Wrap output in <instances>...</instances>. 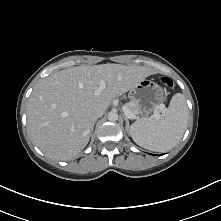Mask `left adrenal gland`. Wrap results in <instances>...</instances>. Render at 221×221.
<instances>
[{"label":"left adrenal gland","mask_w":221,"mask_h":221,"mask_svg":"<svg viewBox=\"0 0 221 221\" xmlns=\"http://www.w3.org/2000/svg\"><path fill=\"white\" fill-rule=\"evenodd\" d=\"M125 121H126V131H129V120L127 117H125Z\"/></svg>","instance_id":"a2214340"}]
</instances>
